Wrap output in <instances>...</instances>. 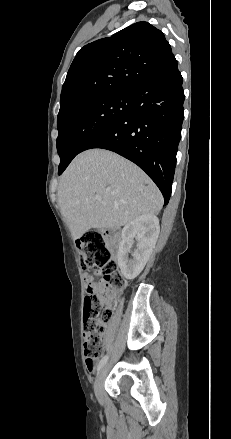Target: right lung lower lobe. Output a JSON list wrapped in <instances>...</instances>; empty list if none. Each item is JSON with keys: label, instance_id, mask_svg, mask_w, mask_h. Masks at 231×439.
Returning a JSON list of instances; mask_svg holds the SVG:
<instances>
[{"label": "right lung lower lobe", "instance_id": "1", "mask_svg": "<svg viewBox=\"0 0 231 439\" xmlns=\"http://www.w3.org/2000/svg\"><path fill=\"white\" fill-rule=\"evenodd\" d=\"M182 82L176 62L138 88L130 111L101 129L80 149H107L134 162L158 186L165 205L171 195L184 119Z\"/></svg>", "mask_w": 231, "mask_h": 439}]
</instances>
